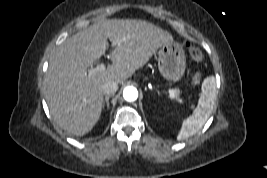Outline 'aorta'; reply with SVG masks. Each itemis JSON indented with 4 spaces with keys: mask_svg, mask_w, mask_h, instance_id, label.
<instances>
[{
    "mask_svg": "<svg viewBox=\"0 0 267 178\" xmlns=\"http://www.w3.org/2000/svg\"><path fill=\"white\" fill-rule=\"evenodd\" d=\"M123 97L128 102H133L138 98V91L133 86H127L123 90Z\"/></svg>",
    "mask_w": 267,
    "mask_h": 178,
    "instance_id": "obj_1",
    "label": "aorta"
}]
</instances>
